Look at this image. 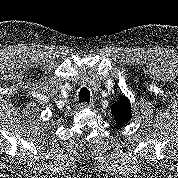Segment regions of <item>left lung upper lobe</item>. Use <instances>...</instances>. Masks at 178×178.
Here are the masks:
<instances>
[{
  "instance_id": "left-lung-upper-lobe-1",
  "label": "left lung upper lobe",
  "mask_w": 178,
  "mask_h": 178,
  "mask_svg": "<svg viewBox=\"0 0 178 178\" xmlns=\"http://www.w3.org/2000/svg\"><path fill=\"white\" fill-rule=\"evenodd\" d=\"M111 113L117 125L127 123L132 116L131 104L125 96H122L111 106Z\"/></svg>"
}]
</instances>
